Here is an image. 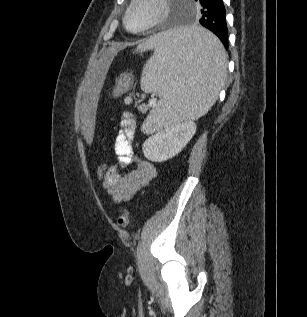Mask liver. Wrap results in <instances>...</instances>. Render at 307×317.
<instances>
[{
	"label": "liver",
	"mask_w": 307,
	"mask_h": 317,
	"mask_svg": "<svg viewBox=\"0 0 307 317\" xmlns=\"http://www.w3.org/2000/svg\"><path fill=\"white\" fill-rule=\"evenodd\" d=\"M123 45L113 44L112 47L106 48L101 55H97L96 62L93 65V71L87 76L84 86L85 93L82 94L84 101H78L77 107L82 108L83 112L78 113V118L82 119V142H97L98 137L95 135L94 110L98 107L101 99L99 92L104 88L106 75L110 72V66L118 57L119 51Z\"/></svg>",
	"instance_id": "6515ba94"
}]
</instances>
